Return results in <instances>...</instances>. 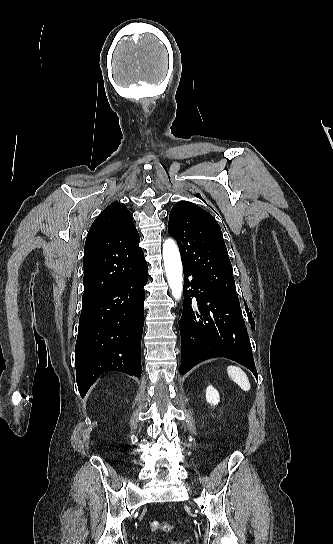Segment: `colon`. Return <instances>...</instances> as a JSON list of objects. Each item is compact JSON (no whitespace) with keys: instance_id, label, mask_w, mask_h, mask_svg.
<instances>
[{"instance_id":"5ec220e1","label":"colon","mask_w":333,"mask_h":544,"mask_svg":"<svg viewBox=\"0 0 333 544\" xmlns=\"http://www.w3.org/2000/svg\"><path fill=\"white\" fill-rule=\"evenodd\" d=\"M172 529V525L164 521H152L149 525V531L152 534H158L161 532H169Z\"/></svg>"}]
</instances>
